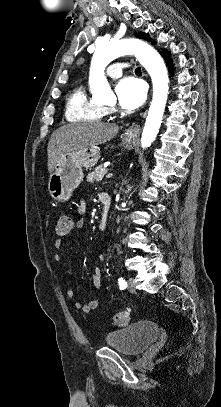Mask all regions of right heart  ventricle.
Returning <instances> with one entry per match:
<instances>
[{"label": "right heart ventricle", "instance_id": "e07e8e85", "mask_svg": "<svg viewBox=\"0 0 221 407\" xmlns=\"http://www.w3.org/2000/svg\"><path fill=\"white\" fill-rule=\"evenodd\" d=\"M108 112L107 108L88 96L82 84L76 85L67 97L65 116L70 122L100 121Z\"/></svg>", "mask_w": 221, "mask_h": 407}]
</instances>
